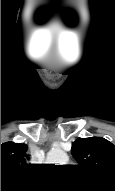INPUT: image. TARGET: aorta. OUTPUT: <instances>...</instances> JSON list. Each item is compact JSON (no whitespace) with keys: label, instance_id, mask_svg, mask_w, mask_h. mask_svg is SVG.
<instances>
[{"label":"aorta","instance_id":"1","mask_svg":"<svg viewBox=\"0 0 115 191\" xmlns=\"http://www.w3.org/2000/svg\"><path fill=\"white\" fill-rule=\"evenodd\" d=\"M51 163L66 164L69 161L68 155L62 150H52L48 155Z\"/></svg>","mask_w":115,"mask_h":191}]
</instances>
